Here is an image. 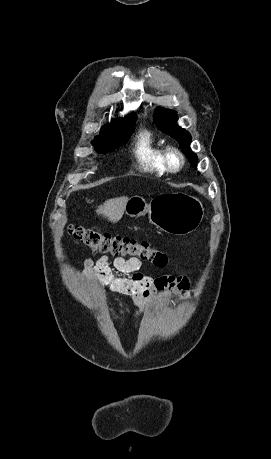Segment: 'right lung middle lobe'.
I'll list each match as a JSON object with an SVG mask.
<instances>
[{
	"mask_svg": "<svg viewBox=\"0 0 271 459\" xmlns=\"http://www.w3.org/2000/svg\"><path fill=\"white\" fill-rule=\"evenodd\" d=\"M135 121L113 122L111 125L104 126L100 136L93 141L96 150L103 153L126 143L134 130Z\"/></svg>",
	"mask_w": 271,
	"mask_h": 459,
	"instance_id": "right-lung-middle-lobe-1",
	"label": "right lung middle lobe"
}]
</instances>
